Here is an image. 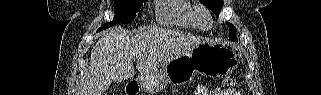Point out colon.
I'll list each match as a JSON object with an SVG mask.
<instances>
[{
  "label": "colon",
  "mask_w": 321,
  "mask_h": 95,
  "mask_svg": "<svg viewBox=\"0 0 321 95\" xmlns=\"http://www.w3.org/2000/svg\"><path fill=\"white\" fill-rule=\"evenodd\" d=\"M223 83L227 87H235V86H237V80L235 78H232V77L225 78Z\"/></svg>",
  "instance_id": "obj_1"
}]
</instances>
